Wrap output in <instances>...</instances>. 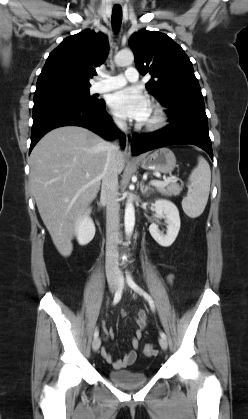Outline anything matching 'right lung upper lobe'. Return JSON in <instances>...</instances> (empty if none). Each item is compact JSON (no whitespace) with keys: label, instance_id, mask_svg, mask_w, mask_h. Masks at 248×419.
Listing matches in <instances>:
<instances>
[{"label":"right lung upper lobe","instance_id":"1","mask_svg":"<svg viewBox=\"0 0 248 419\" xmlns=\"http://www.w3.org/2000/svg\"><path fill=\"white\" fill-rule=\"evenodd\" d=\"M109 52L107 37L84 30L64 39L48 56L38 77L35 93L61 89H88L95 67Z\"/></svg>","mask_w":248,"mask_h":419}]
</instances>
